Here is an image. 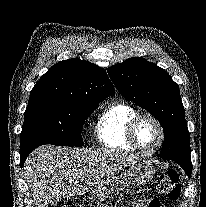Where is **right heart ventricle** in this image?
Returning a JSON list of instances; mask_svg holds the SVG:
<instances>
[{
	"label": "right heart ventricle",
	"mask_w": 206,
	"mask_h": 207,
	"mask_svg": "<svg viewBox=\"0 0 206 207\" xmlns=\"http://www.w3.org/2000/svg\"><path fill=\"white\" fill-rule=\"evenodd\" d=\"M139 114L130 104L114 102L98 117L95 130L100 144L112 151H134L127 139L129 122Z\"/></svg>",
	"instance_id": "1"
}]
</instances>
